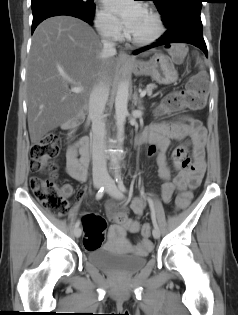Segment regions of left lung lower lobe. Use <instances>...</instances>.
I'll return each mask as SVG.
<instances>
[{"label": "left lung lower lobe", "mask_w": 238, "mask_h": 315, "mask_svg": "<svg viewBox=\"0 0 238 315\" xmlns=\"http://www.w3.org/2000/svg\"><path fill=\"white\" fill-rule=\"evenodd\" d=\"M201 9L189 8L180 11L171 21L164 23L167 31L152 45L143 47L134 54L148 49L170 43H188L200 48L207 55V47L203 38L202 22L200 18Z\"/></svg>", "instance_id": "obj_1"}]
</instances>
